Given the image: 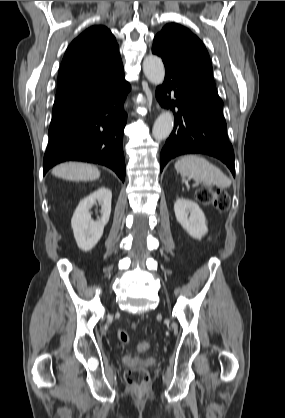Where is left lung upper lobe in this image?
I'll return each instance as SVG.
<instances>
[{
    "instance_id": "1",
    "label": "left lung upper lobe",
    "mask_w": 285,
    "mask_h": 418,
    "mask_svg": "<svg viewBox=\"0 0 285 418\" xmlns=\"http://www.w3.org/2000/svg\"><path fill=\"white\" fill-rule=\"evenodd\" d=\"M178 62L215 85L208 52L200 39L187 28L170 23L154 38Z\"/></svg>"
}]
</instances>
